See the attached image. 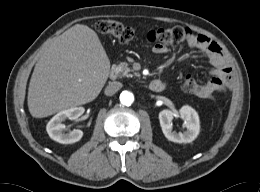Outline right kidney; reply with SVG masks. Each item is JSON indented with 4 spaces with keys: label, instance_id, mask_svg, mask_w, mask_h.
Listing matches in <instances>:
<instances>
[{
    "label": "right kidney",
    "instance_id": "ca27d5eb",
    "mask_svg": "<svg viewBox=\"0 0 260 192\" xmlns=\"http://www.w3.org/2000/svg\"><path fill=\"white\" fill-rule=\"evenodd\" d=\"M83 107H72L57 113L47 124L46 130L48 135L54 141L62 144H72L79 141L83 132L81 130H73L69 133L63 132L65 125L62 124L66 119L75 120L84 113Z\"/></svg>",
    "mask_w": 260,
    "mask_h": 192
}]
</instances>
